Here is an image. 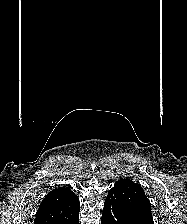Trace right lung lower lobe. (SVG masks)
<instances>
[{
	"mask_svg": "<svg viewBox=\"0 0 187 224\" xmlns=\"http://www.w3.org/2000/svg\"><path fill=\"white\" fill-rule=\"evenodd\" d=\"M65 224H79V210Z\"/></svg>",
	"mask_w": 187,
	"mask_h": 224,
	"instance_id": "98d812e1",
	"label": "right lung lower lobe"
}]
</instances>
